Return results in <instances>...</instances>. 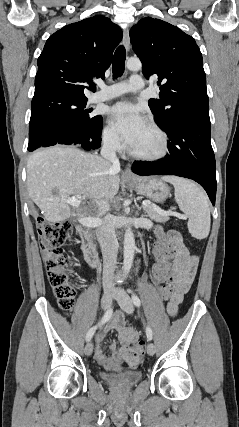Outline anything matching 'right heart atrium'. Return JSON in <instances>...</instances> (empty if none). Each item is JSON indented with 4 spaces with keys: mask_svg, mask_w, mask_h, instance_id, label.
Returning <instances> with one entry per match:
<instances>
[{
    "mask_svg": "<svg viewBox=\"0 0 239 427\" xmlns=\"http://www.w3.org/2000/svg\"><path fill=\"white\" fill-rule=\"evenodd\" d=\"M102 143L110 151H120L122 142L117 132L110 126L106 125L102 130Z\"/></svg>",
    "mask_w": 239,
    "mask_h": 427,
    "instance_id": "right-heart-atrium-1",
    "label": "right heart atrium"
}]
</instances>
